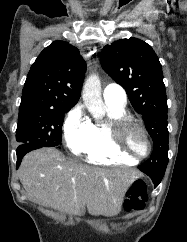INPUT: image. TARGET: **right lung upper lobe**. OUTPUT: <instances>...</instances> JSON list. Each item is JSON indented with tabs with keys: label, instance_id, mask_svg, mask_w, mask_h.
<instances>
[{
	"label": "right lung upper lobe",
	"instance_id": "cb5924a9",
	"mask_svg": "<svg viewBox=\"0 0 187 242\" xmlns=\"http://www.w3.org/2000/svg\"><path fill=\"white\" fill-rule=\"evenodd\" d=\"M86 63L79 50L55 41L30 68L19 109H71L79 100Z\"/></svg>",
	"mask_w": 187,
	"mask_h": 242
}]
</instances>
